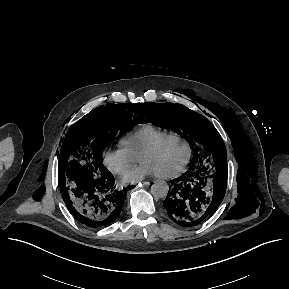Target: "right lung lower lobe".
<instances>
[{
  "label": "right lung lower lobe",
  "instance_id": "obj_1",
  "mask_svg": "<svg viewBox=\"0 0 289 289\" xmlns=\"http://www.w3.org/2000/svg\"><path fill=\"white\" fill-rule=\"evenodd\" d=\"M128 188L119 190L111 172L78 184L62 193L63 200L73 217L80 223L101 228L113 223L120 215Z\"/></svg>",
  "mask_w": 289,
  "mask_h": 289
}]
</instances>
